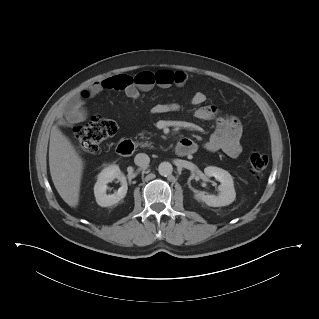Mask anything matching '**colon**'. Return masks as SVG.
<instances>
[{"label": "colon", "instance_id": "obj_1", "mask_svg": "<svg viewBox=\"0 0 319 319\" xmlns=\"http://www.w3.org/2000/svg\"><path fill=\"white\" fill-rule=\"evenodd\" d=\"M143 77L150 82L151 78L146 74L137 76L136 82L140 83ZM117 129L115 121L99 116L93 117L88 123L76 128V147L83 153H94L99 150L103 141L116 134ZM249 162L252 174L260 177L268 165V157L263 153L253 152L249 157Z\"/></svg>", "mask_w": 319, "mask_h": 319}]
</instances>
